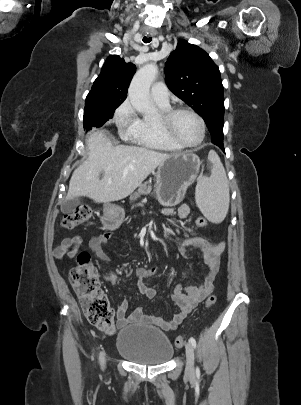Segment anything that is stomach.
<instances>
[{
	"label": "stomach",
	"instance_id": "obj_1",
	"mask_svg": "<svg viewBox=\"0 0 301 405\" xmlns=\"http://www.w3.org/2000/svg\"><path fill=\"white\" fill-rule=\"evenodd\" d=\"M199 157L190 151L172 154L163 160L157 170L155 194L164 206L179 204L188 189L197 179L200 171ZM124 214L122 210L107 208L103 217L108 229L120 226Z\"/></svg>",
	"mask_w": 301,
	"mask_h": 405
}]
</instances>
